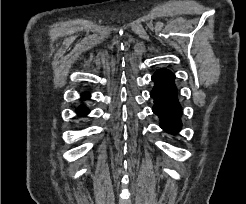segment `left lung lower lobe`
<instances>
[{
    "label": "left lung lower lobe",
    "mask_w": 246,
    "mask_h": 204,
    "mask_svg": "<svg viewBox=\"0 0 246 204\" xmlns=\"http://www.w3.org/2000/svg\"><path fill=\"white\" fill-rule=\"evenodd\" d=\"M174 78V74L169 70H158L152 76L155 85L150 94L155 103L153 112L159 116L161 128L169 133H176L181 128V107Z\"/></svg>",
    "instance_id": "0a47b994"
}]
</instances>
